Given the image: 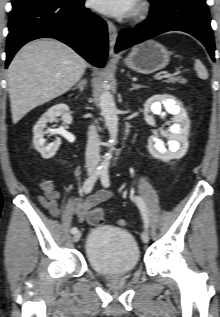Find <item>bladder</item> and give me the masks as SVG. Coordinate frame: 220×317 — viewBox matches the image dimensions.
<instances>
[{
    "instance_id": "bladder-1",
    "label": "bladder",
    "mask_w": 220,
    "mask_h": 317,
    "mask_svg": "<svg viewBox=\"0 0 220 317\" xmlns=\"http://www.w3.org/2000/svg\"><path fill=\"white\" fill-rule=\"evenodd\" d=\"M84 250L88 266L102 275L129 274L140 262L135 238L122 228H93L87 235Z\"/></svg>"
}]
</instances>
